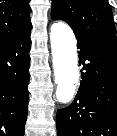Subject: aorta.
<instances>
[{"label":"aorta","instance_id":"1","mask_svg":"<svg viewBox=\"0 0 117 136\" xmlns=\"http://www.w3.org/2000/svg\"><path fill=\"white\" fill-rule=\"evenodd\" d=\"M56 97L59 102H70L79 80L77 41L72 29L63 22H55L50 31Z\"/></svg>","mask_w":117,"mask_h":136}]
</instances>
